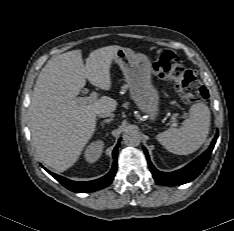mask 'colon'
I'll use <instances>...</instances> for the list:
<instances>
[{
    "label": "colon",
    "instance_id": "1",
    "mask_svg": "<svg viewBox=\"0 0 234 231\" xmlns=\"http://www.w3.org/2000/svg\"><path fill=\"white\" fill-rule=\"evenodd\" d=\"M153 70L158 77L175 86L183 102L194 103L207 99L208 91L198 76L193 71L185 69L172 51L159 52L153 63Z\"/></svg>",
    "mask_w": 234,
    "mask_h": 231
}]
</instances>
